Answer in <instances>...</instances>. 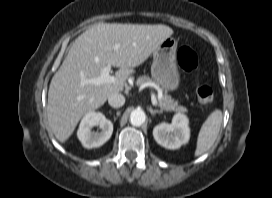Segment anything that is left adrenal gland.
Listing matches in <instances>:
<instances>
[{
	"label": "left adrenal gland",
	"instance_id": "a2214340",
	"mask_svg": "<svg viewBox=\"0 0 272 198\" xmlns=\"http://www.w3.org/2000/svg\"><path fill=\"white\" fill-rule=\"evenodd\" d=\"M149 111H150L152 116H154L155 114H161L162 113V110H153L151 107L149 108Z\"/></svg>",
	"mask_w": 272,
	"mask_h": 198
}]
</instances>
